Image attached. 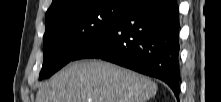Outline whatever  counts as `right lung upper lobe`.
Instances as JSON below:
<instances>
[{
    "instance_id": "cb5924a9",
    "label": "right lung upper lobe",
    "mask_w": 221,
    "mask_h": 102,
    "mask_svg": "<svg viewBox=\"0 0 221 102\" xmlns=\"http://www.w3.org/2000/svg\"><path fill=\"white\" fill-rule=\"evenodd\" d=\"M84 0H53L50 8L46 12L45 18L48 19L51 16L57 14L60 11H63L71 6L75 5L76 3H80ZM132 3H136L138 0H130Z\"/></svg>"
}]
</instances>
